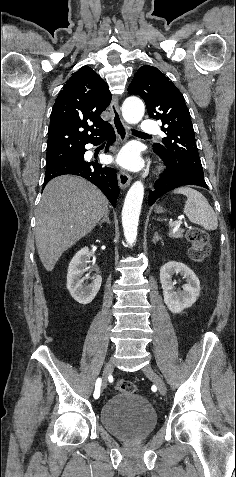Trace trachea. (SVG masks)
Instances as JSON below:
<instances>
[{
    "label": "trachea",
    "mask_w": 236,
    "mask_h": 477,
    "mask_svg": "<svg viewBox=\"0 0 236 477\" xmlns=\"http://www.w3.org/2000/svg\"><path fill=\"white\" fill-rule=\"evenodd\" d=\"M132 132H133L134 134H145V133H143V132H140V131H137V130H134V129L132 130Z\"/></svg>",
    "instance_id": "obj_1"
}]
</instances>
